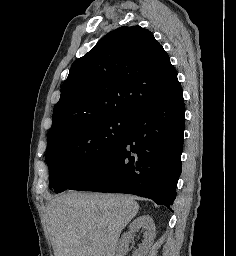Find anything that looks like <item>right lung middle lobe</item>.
Here are the masks:
<instances>
[{
    "label": "right lung middle lobe",
    "instance_id": "1",
    "mask_svg": "<svg viewBox=\"0 0 236 256\" xmlns=\"http://www.w3.org/2000/svg\"><path fill=\"white\" fill-rule=\"evenodd\" d=\"M133 119L105 118L74 124L48 136L49 186L68 189L91 166L113 152L126 137Z\"/></svg>",
    "mask_w": 236,
    "mask_h": 256
}]
</instances>
